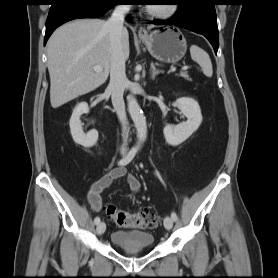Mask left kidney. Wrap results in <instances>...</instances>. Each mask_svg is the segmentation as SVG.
<instances>
[{
	"mask_svg": "<svg viewBox=\"0 0 278 278\" xmlns=\"http://www.w3.org/2000/svg\"><path fill=\"white\" fill-rule=\"evenodd\" d=\"M176 105L187 121L177 126L167 125L163 129L165 140L171 146H177L188 139L202 122L199 104L194 99L182 97L176 100Z\"/></svg>",
	"mask_w": 278,
	"mask_h": 278,
	"instance_id": "obj_1",
	"label": "left kidney"
}]
</instances>
